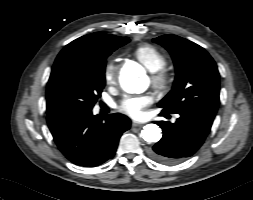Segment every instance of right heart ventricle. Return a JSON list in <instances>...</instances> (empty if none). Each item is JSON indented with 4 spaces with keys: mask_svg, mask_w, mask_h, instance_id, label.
Segmentation results:
<instances>
[{
    "mask_svg": "<svg viewBox=\"0 0 253 200\" xmlns=\"http://www.w3.org/2000/svg\"><path fill=\"white\" fill-rule=\"evenodd\" d=\"M133 54L152 73L165 68L167 64L166 55L149 44L138 46Z\"/></svg>",
    "mask_w": 253,
    "mask_h": 200,
    "instance_id": "obj_1",
    "label": "right heart ventricle"
}]
</instances>
